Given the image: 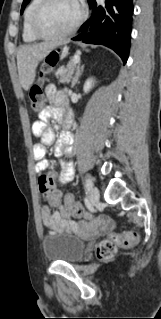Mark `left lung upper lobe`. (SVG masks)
I'll list each match as a JSON object with an SVG mask.
<instances>
[{
	"label": "left lung upper lobe",
	"mask_w": 161,
	"mask_h": 319,
	"mask_svg": "<svg viewBox=\"0 0 161 319\" xmlns=\"http://www.w3.org/2000/svg\"><path fill=\"white\" fill-rule=\"evenodd\" d=\"M30 0H24L21 8V13L23 12L25 6L29 3Z\"/></svg>",
	"instance_id": "left-lung-upper-lobe-1"
}]
</instances>
